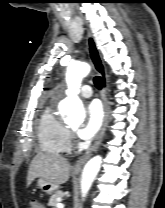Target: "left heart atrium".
<instances>
[{"instance_id":"1","label":"left heart atrium","mask_w":165,"mask_h":208,"mask_svg":"<svg viewBox=\"0 0 165 208\" xmlns=\"http://www.w3.org/2000/svg\"><path fill=\"white\" fill-rule=\"evenodd\" d=\"M103 111L98 101L90 102L86 107V120L79 128L78 135L83 140L93 139L100 129Z\"/></svg>"}]
</instances>
